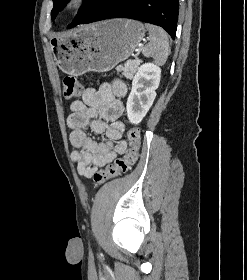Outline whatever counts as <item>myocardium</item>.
I'll return each instance as SVG.
<instances>
[{
    "label": "myocardium",
    "mask_w": 247,
    "mask_h": 280,
    "mask_svg": "<svg viewBox=\"0 0 247 280\" xmlns=\"http://www.w3.org/2000/svg\"><path fill=\"white\" fill-rule=\"evenodd\" d=\"M84 0H68L66 3L67 10H74L83 4Z\"/></svg>",
    "instance_id": "f54148a6"
}]
</instances>
